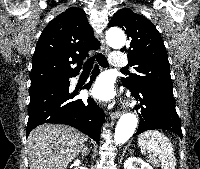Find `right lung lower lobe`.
<instances>
[{"label":"right lung lower lobe","mask_w":200,"mask_h":169,"mask_svg":"<svg viewBox=\"0 0 200 169\" xmlns=\"http://www.w3.org/2000/svg\"><path fill=\"white\" fill-rule=\"evenodd\" d=\"M98 74L99 68L96 66L92 72V79L84 87L85 89L90 88ZM70 77L31 85L26 135L40 124L60 123L73 126L98 142L104 121V111L92 98H89L87 102L81 99L73 100L74 93H69Z\"/></svg>","instance_id":"right-lung-lower-lobe-1"}]
</instances>
